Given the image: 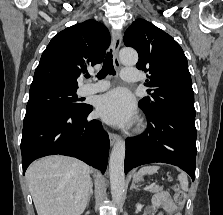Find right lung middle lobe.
Masks as SVG:
<instances>
[{
    "instance_id": "dd1d6c3e",
    "label": "right lung middle lobe",
    "mask_w": 223,
    "mask_h": 215,
    "mask_svg": "<svg viewBox=\"0 0 223 215\" xmlns=\"http://www.w3.org/2000/svg\"><path fill=\"white\" fill-rule=\"evenodd\" d=\"M86 108V104L79 103L75 90L30 92L25 118L56 111L82 112Z\"/></svg>"
}]
</instances>
